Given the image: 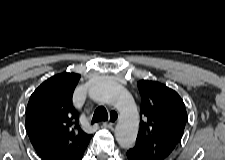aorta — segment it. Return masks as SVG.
<instances>
[{"instance_id":"1","label":"aorta","mask_w":225,"mask_h":160,"mask_svg":"<svg viewBox=\"0 0 225 160\" xmlns=\"http://www.w3.org/2000/svg\"><path fill=\"white\" fill-rule=\"evenodd\" d=\"M89 97L95 102L111 104L117 108L120 118L115 128L116 140L123 148L132 147L137 138L139 117L130 93L120 84L105 79L91 85Z\"/></svg>"}]
</instances>
